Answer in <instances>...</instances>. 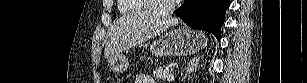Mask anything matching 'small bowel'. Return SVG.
Returning a JSON list of instances; mask_svg holds the SVG:
<instances>
[{"mask_svg":"<svg viewBox=\"0 0 307 83\" xmlns=\"http://www.w3.org/2000/svg\"><path fill=\"white\" fill-rule=\"evenodd\" d=\"M136 83H155V81L146 74H139L136 77Z\"/></svg>","mask_w":307,"mask_h":83,"instance_id":"small-bowel-1","label":"small bowel"}]
</instances>
